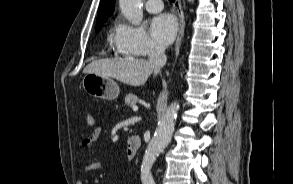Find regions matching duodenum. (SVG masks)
I'll list each match as a JSON object with an SVG mask.
<instances>
[{"label": "duodenum", "mask_w": 293, "mask_h": 184, "mask_svg": "<svg viewBox=\"0 0 293 184\" xmlns=\"http://www.w3.org/2000/svg\"><path fill=\"white\" fill-rule=\"evenodd\" d=\"M141 146V140L138 136H131L127 141V157L133 159Z\"/></svg>", "instance_id": "duodenum-1"}]
</instances>
